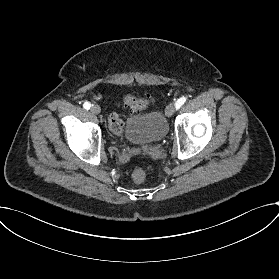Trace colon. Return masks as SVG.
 <instances>
[{"mask_svg":"<svg viewBox=\"0 0 279 279\" xmlns=\"http://www.w3.org/2000/svg\"><path fill=\"white\" fill-rule=\"evenodd\" d=\"M124 106L133 113H140L147 109H153L154 99L151 96H139L126 94L123 97ZM110 130L118 135H123V120L115 112L108 117ZM132 179L136 183H142L146 177L145 160L142 157H135L129 164Z\"/></svg>","mask_w":279,"mask_h":279,"instance_id":"colon-1","label":"colon"}]
</instances>
